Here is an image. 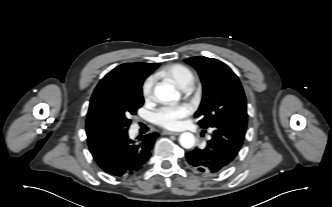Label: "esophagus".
<instances>
[{
	"label": "esophagus",
	"mask_w": 332,
	"mask_h": 207,
	"mask_svg": "<svg viewBox=\"0 0 332 207\" xmlns=\"http://www.w3.org/2000/svg\"><path fill=\"white\" fill-rule=\"evenodd\" d=\"M163 135H179L178 132H173V131H168V130H164L162 132Z\"/></svg>",
	"instance_id": "34e87169"
}]
</instances>
